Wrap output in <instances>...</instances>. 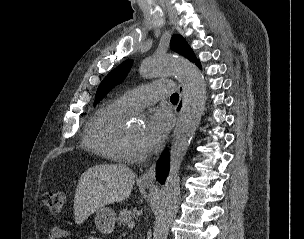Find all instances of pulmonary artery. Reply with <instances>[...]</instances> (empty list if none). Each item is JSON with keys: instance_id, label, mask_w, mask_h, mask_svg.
Listing matches in <instances>:
<instances>
[{"instance_id": "pulmonary-artery-1", "label": "pulmonary artery", "mask_w": 304, "mask_h": 239, "mask_svg": "<svg viewBox=\"0 0 304 239\" xmlns=\"http://www.w3.org/2000/svg\"><path fill=\"white\" fill-rule=\"evenodd\" d=\"M173 90L174 85L169 81L155 82L127 91L120 100L131 109H139L167 97Z\"/></svg>"}]
</instances>
